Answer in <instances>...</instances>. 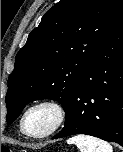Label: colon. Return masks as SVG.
Segmentation results:
<instances>
[{
  "label": "colon",
  "instance_id": "1",
  "mask_svg": "<svg viewBox=\"0 0 123 152\" xmlns=\"http://www.w3.org/2000/svg\"><path fill=\"white\" fill-rule=\"evenodd\" d=\"M1 152H14V151L8 147H2Z\"/></svg>",
  "mask_w": 123,
  "mask_h": 152
}]
</instances>
